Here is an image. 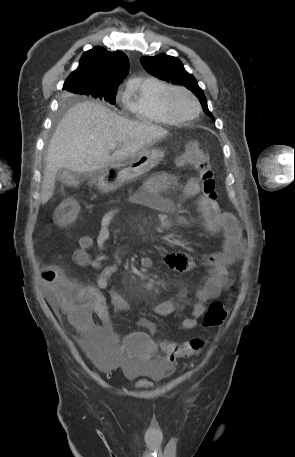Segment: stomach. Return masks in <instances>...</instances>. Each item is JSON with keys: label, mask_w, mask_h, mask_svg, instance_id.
<instances>
[{"label": "stomach", "mask_w": 295, "mask_h": 457, "mask_svg": "<svg viewBox=\"0 0 295 457\" xmlns=\"http://www.w3.org/2000/svg\"><path fill=\"white\" fill-rule=\"evenodd\" d=\"M162 148H145L134 155L97 170L96 184L103 192L114 191L157 166L164 158Z\"/></svg>", "instance_id": "1"}]
</instances>
